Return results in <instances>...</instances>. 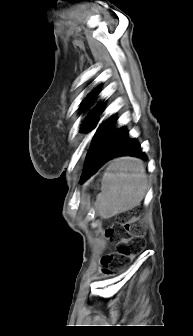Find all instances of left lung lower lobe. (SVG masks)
<instances>
[{"label":"left lung lower lobe","mask_w":193,"mask_h":336,"mask_svg":"<svg viewBox=\"0 0 193 336\" xmlns=\"http://www.w3.org/2000/svg\"><path fill=\"white\" fill-rule=\"evenodd\" d=\"M115 122L110 117L99 126L85 159L81 182L115 157L130 155L146 159L135 139H130L124 128L116 129Z\"/></svg>","instance_id":"1"}]
</instances>
